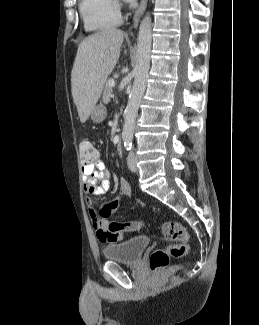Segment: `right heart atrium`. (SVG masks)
<instances>
[{
	"label": "right heart atrium",
	"instance_id": "1",
	"mask_svg": "<svg viewBox=\"0 0 259 325\" xmlns=\"http://www.w3.org/2000/svg\"><path fill=\"white\" fill-rule=\"evenodd\" d=\"M115 4H116V7H117V8L121 6L119 0H115Z\"/></svg>",
	"mask_w": 259,
	"mask_h": 325
}]
</instances>
